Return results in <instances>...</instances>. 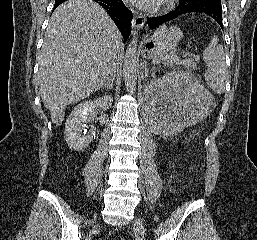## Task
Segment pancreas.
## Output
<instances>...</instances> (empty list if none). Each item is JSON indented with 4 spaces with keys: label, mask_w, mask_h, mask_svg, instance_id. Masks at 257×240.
I'll use <instances>...</instances> for the list:
<instances>
[{
    "label": "pancreas",
    "mask_w": 257,
    "mask_h": 240,
    "mask_svg": "<svg viewBox=\"0 0 257 240\" xmlns=\"http://www.w3.org/2000/svg\"><path fill=\"white\" fill-rule=\"evenodd\" d=\"M168 56L176 57L175 54H170ZM168 56H166V57H168ZM168 61L170 62L171 66H173V64H180V65H184L185 67L193 68V69H195V67H196V64L191 59H185L183 61H177V60H168Z\"/></svg>",
    "instance_id": "obj_1"
}]
</instances>
